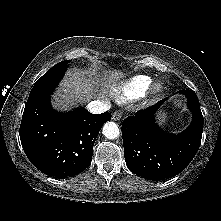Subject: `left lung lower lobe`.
Wrapping results in <instances>:
<instances>
[{
    "mask_svg": "<svg viewBox=\"0 0 221 221\" xmlns=\"http://www.w3.org/2000/svg\"><path fill=\"white\" fill-rule=\"evenodd\" d=\"M178 93L185 95L193 113L191 125L180 135L165 133L155 122V113L166 99L123 121L124 157L134 174L154 181L169 178L181 172L198 151L203 132L199 100L192 90Z\"/></svg>",
    "mask_w": 221,
    "mask_h": 221,
    "instance_id": "left-lung-lower-lobe-1",
    "label": "left lung lower lobe"
}]
</instances>
